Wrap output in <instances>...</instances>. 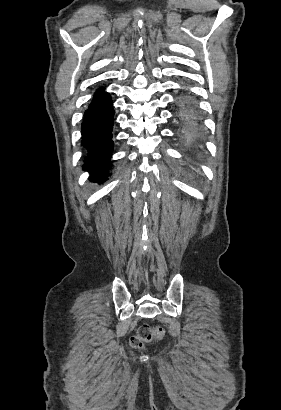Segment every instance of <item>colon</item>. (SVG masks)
<instances>
[{"mask_svg":"<svg viewBox=\"0 0 281 410\" xmlns=\"http://www.w3.org/2000/svg\"><path fill=\"white\" fill-rule=\"evenodd\" d=\"M164 335V329L161 326L151 327L150 325H142L136 333L130 338V345L134 349L143 348L144 344Z\"/></svg>","mask_w":281,"mask_h":410,"instance_id":"5ec220e1","label":"colon"}]
</instances>
